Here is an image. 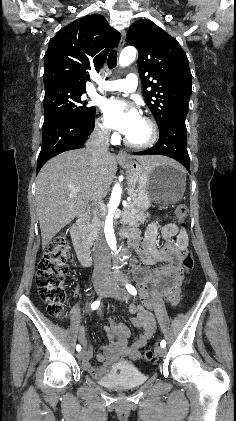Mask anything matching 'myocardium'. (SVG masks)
Returning a JSON list of instances; mask_svg holds the SVG:
<instances>
[{
  "label": "myocardium",
  "instance_id": "f54148a6",
  "mask_svg": "<svg viewBox=\"0 0 236 421\" xmlns=\"http://www.w3.org/2000/svg\"><path fill=\"white\" fill-rule=\"evenodd\" d=\"M142 119L146 122V124L149 127V130H150L149 138L144 142H134L130 140L128 136L125 137V143L129 147L140 149V150L149 149L153 147L159 139V129L156 123L147 116H143Z\"/></svg>",
  "mask_w": 236,
  "mask_h": 421
}]
</instances>
